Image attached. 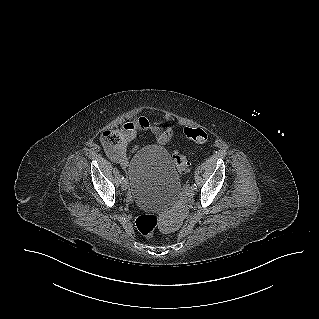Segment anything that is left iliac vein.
<instances>
[{"mask_svg":"<svg viewBox=\"0 0 319 319\" xmlns=\"http://www.w3.org/2000/svg\"><path fill=\"white\" fill-rule=\"evenodd\" d=\"M187 193H188L189 197H193L194 193H195V189L192 186H189L187 188Z\"/></svg>","mask_w":319,"mask_h":319,"instance_id":"left-iliac-vein-1","label":"left iliac vein"}]
</instances>
